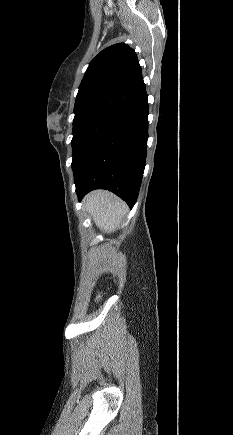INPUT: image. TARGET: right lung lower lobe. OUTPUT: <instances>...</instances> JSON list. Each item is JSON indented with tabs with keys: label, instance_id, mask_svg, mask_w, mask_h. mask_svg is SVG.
Returning <instances> with one entry per match:
<instances>
[{
	"label": "right lung lower lobe",
	"instance_id": "right-lung-lower-lobe-1",
	"mask_svg": "<svg viewBox=\"0 0 233 435\" xmlns=\"http://www.w3.org/2000/svg\"><path fill=\"white\" fill-rule=\"evenodd\" d=\"M147 95L90 149L74 171L79 201L94 189H106L132 208L137 200L146 163Z\"/></svg>",
	"mask_w": 233,
	"mask_h": 435
}]
</instances>
